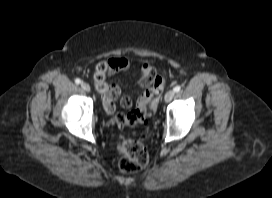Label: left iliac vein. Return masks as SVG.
<instances>
[{"instance_id": "left-iliac-vein-1", "label": "left iliac vein", "mask_w": 272, "mask_h": 198, "mask_svg": "<svg viewBox=\"0 0 272 198\" xmlns=\"http://www.w3.org/2000/svg\"><path fill=\"white\" fill-rule=\"evenodd\" d=\"M174 94H175L174 90L167 91L165 96H164L165 102H170L173 99Z\"/></svg>"}]
</instances>
